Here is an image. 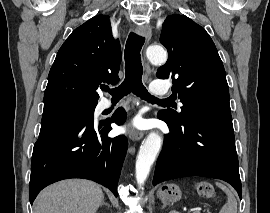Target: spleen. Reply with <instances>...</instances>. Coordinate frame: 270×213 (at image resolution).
I'll list each match as a JSON object with an SVG mask.
<instances>
[{
	"instance_id": "obj_1",
	"label": "spleen",
	"mask_w": 270,
	"mask_h": 213,
	"mask_svg": "<svg viewBox=\"0 0 270 213\" xmlns=\"http://www.w3.org/2000/svg\"><path fill=\"white\" fill-rule=\"evenodd\" d=\"M216 185L221 188L227 195V202L221 208L219 213H237V201L232 192L221 183H216Z\"/></svg>"
}]
</instances>
